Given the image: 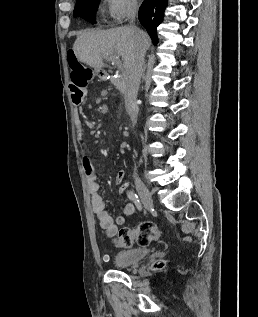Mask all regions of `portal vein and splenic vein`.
<instances>
[{
  "mask_svg": "<svg viewBox=\"0 0 258 317\" xmlns=\"http://www.w3.org/2000/svg\"><path fill=\"white\" fill-rule=\"evenodd\" d=\"M108 60H112L113 64H115V60L116 58H118V56H107Z\"/></svg>",
  "mask_w": 258,
  "mask_h": 317,
  "instance_id": "obj_1",
  "label": "portal vein and splenic vein"
}]
</instances>
